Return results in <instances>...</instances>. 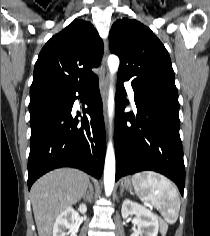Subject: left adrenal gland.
<instances>
[{"instance_id": "1", "label": "left adrenal gland", "mask_w": 210, "mask_h": 236, "mask_svg": "<svg viewBox=\"0 0 210 236\" xmlns=\"http://www.w3.org/2000/svg\"><path fill=\"white\" fill-rule=\"evenodd\" d=\"M123 192H124V189L121 188V189H120V195H121V196L123 195Z\"/></svg>"}]
</instances>
